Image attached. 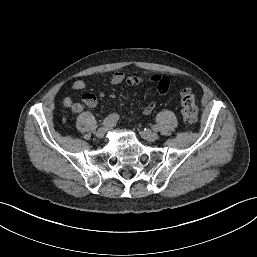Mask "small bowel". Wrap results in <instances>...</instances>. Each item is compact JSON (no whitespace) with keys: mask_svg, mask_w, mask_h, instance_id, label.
<instances>
[{"mask_svg":"<svg viewBox=\"0 0 257 257\" xmlns=\"http://www.w3.org/2000/svg\"><path fill=\"white\" fill-rule=\"evenodd\" d=\"M144 80H149L154 83L157 90L161 94L167 93L171 88V81L168 76L162 73H148L144 76L132 75L126 77L121 71H115L110 76V82L114 85L125 82L129 87L136 86L142 83ZM86 83L83 79H78L72 84V88L75 91H81L85 88ZM64 105L70 108L75 113H80L87 107L94 108L98 105L97 97L93 93H85L82 96L80 102H74L70 97H65L63 100ZM155 103L151 102L144 108V113L149 115L154 111Z\"/></svg>","mask_w":257,"mask_h":257,"instance_id":"1","label":"small bowel"}]
</instances>
